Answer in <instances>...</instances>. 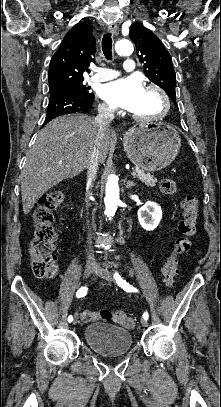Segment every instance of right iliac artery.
Here are the masks:
<instances>
[{
	"label": "right iliac artery",
	"mask_w": 221,
	"mask_h": 407,
	"mask_svg": "<svg viewBox=\"0 0 221 407\" xmlns=\"http://www.w3.org/2000/svg\"><path fill=\"white\" fill-rule=\"evenodd\" d=\"M87 290H88V288L85 286V287H82V288H80L78 291H77V293H76V296L79 298V297H84L86 294H87ZM73 321V317L70 315L69 317H68V322H72Z\"/></svg>",
	"instance_id": "82829eb1"
}]
</instances>
